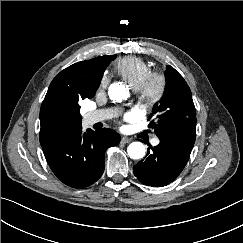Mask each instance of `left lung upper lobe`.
<instances>
[{
  "instance_id": "obj_1",
  "label": "left lung upper lobe",
  "mask_w": 243,
  "mask_h": 243,
  "mask_svg": "<svg viewBox=\"0 0 243 243\" xmlns=\"http://www.w3.org/2000/svg\"><path fill=\"white\" fill-rule=\"evenodd\" d=\"M163 98L153 107L149 127L160 140H170L192 150L196 139V115L192 94L184 78L171 66L165 71Z\"/></svg>"
}]
</instances>
